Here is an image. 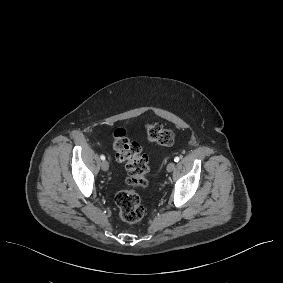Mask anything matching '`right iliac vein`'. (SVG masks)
Here are the masks:
<instances>
[{"instance_id":"63e3f726","label":"right iliac vein","mask_w":283,"mask_h":283,"mask_svg":"<svg viewBox=\"0 0 283 283\" xmlns=\"http://www.w3.org/2000/svg\"><path fill=\"white\" fill-rule=\"evenodd\" d=\"M101 168L103 171H107L109 169V164L106 160L102 161Z\"/></svg>"}]
</instances>
